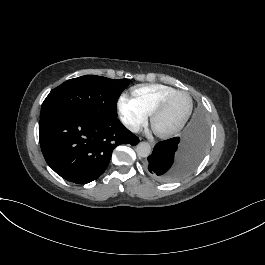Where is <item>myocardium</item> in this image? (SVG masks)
<instances>
[{"mask_svg": "<svg viewBox=\"0 0 265 265\" xmlns=\"http://www.w3.org/2000/svg\"><path fill=\"white\" fill-rule=\"evenodd\" d=\"M185 93V91L183 90H173L171 92H169L168 94L164 95L155 105L154 110L152 112V119H151V125L153 130L155 131V133L160 136V137H168L170 135H172L173 133L177 132L178 130H180L189 120L191 113H192V109H193V105H192V100L190 98H188V103H187V107L185 110V113L183 115V117L181 118V120L173 127L168 128V129H160L157 125V120H158V116L162 110V108L164 107L165 103L174 95L176 94H183Z\"/></svg>", "mask_w": 265, "mask_h": 265, "instance_id": "myocardium-1", "label": "myocardium"}]
</instances>
